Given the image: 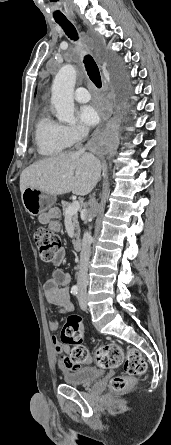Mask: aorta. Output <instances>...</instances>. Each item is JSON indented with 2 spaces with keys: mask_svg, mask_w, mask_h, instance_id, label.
I'll return each instance as SVG.
<instances>
[{
  "mask_svg": "<svg viewBox=\"0 0 171 445\" xmlns=\"http://www.w3.org/2000/svg\"><path fill=\"white\" fill-rule=\"evenodd\" d=\"M75 82L76 70L71 64L62 66L54 78L51 103L55 107L57 119L60 122H75L73 98Z\"/></svg>",
  "mask_w": 171,
  "mask_h": 445,
  "instance_id": "1",
  "label": "aorta"
}]
</instances>
